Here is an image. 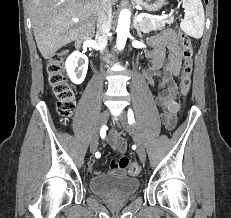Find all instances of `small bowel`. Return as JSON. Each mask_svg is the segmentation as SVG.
I'll use <instances>...</instances> for the list:
<instances>
[{
  "label": "small bowel",
  "instance_id": "1",
  "mask_svg": "<svg viewBox=\"0 0 231 218\" xmlns=\"http://www.w3.org/2000/svg\"><path fill=\"white\" fill-rule=\"evenodd\" d=\"M151 43L153 49L147 54L150 58V63L144 70L143 74L147 82L153 88L155 86L157 87L158 93L155 97V102L162 108L161 118L165 128L167 130H172L175 127L176 114L180 107L178 102V87L175 78L182 73L185 68V63L183 64L181 51L177 43V37L172 30L167 29L160 35L153 37ZM166 51L168 52L167 58ZM155 77L161 78L157 85H155ZM107 139L109 144L116 151H125L126 144L116 131H111ZM122 158L125 157L112 159V174L122 175L126 172V170L119 164L120 159ZM95 166V160H90V170L95 174H99L95 169Z\"/></svg>",
  "mask_w": 231,
  "mask_h": 218
}]
</instances>
